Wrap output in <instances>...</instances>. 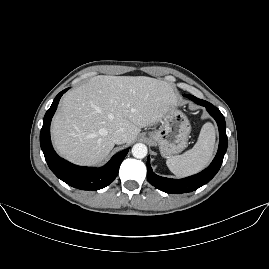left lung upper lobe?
Wrapping results in <instances>:
<instances>
[{
    "instance_id": "5c2ea615",
    "label": "left lung upper lobe",
    "mask_w": 269,
    "mask_h": 269,
    "mask_svg": "<svg viewBox=\"0 0 269 269\" xmlns=\"http://www.w3.org/2000/svg\"><path fill=\"white\" fill-rule=\"evenodd\" d=\"M187 98H189L190 99V97L192 96V95H185Z\"/></svg>"
}]
</instances>
